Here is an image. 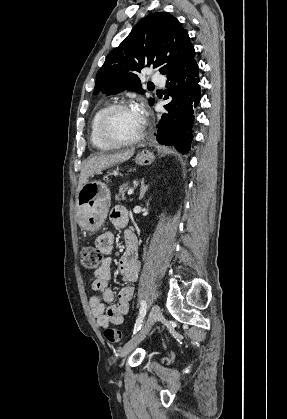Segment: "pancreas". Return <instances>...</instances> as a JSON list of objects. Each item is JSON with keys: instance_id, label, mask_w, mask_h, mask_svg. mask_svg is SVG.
Wrapping results in <instances>:
<instances>
[{"instance_id": "1", "label": "pancreas", "mask_w": 287, "mask_h": 419, "mask_svg": "<svg viewBox=\"0 0 287 419\" xmlns=\"http://www.w3.org/2000/svg\"><path fill=\"white\" fill-rule=\"evenodd\" d=\"M129 189V184L125 183L122 186H120L119 193L116 195V200H125V193Z\"/></svg>"}]
</instances>
